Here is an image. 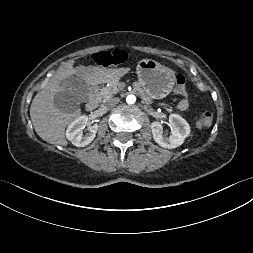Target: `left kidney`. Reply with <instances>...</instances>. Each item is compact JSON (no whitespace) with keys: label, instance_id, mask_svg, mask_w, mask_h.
<instances>
[{"label":"left kidney","instance_id":"5707ae66","mask_svg":"<svg viewBox=\"0 0 253 253\" xmlns=\"http://www.w3.org/2000/svg\"><path fill=\"white\" fill-rule=\"evenodd\" d=\"M171 134L169 137L163 135V126L160 122L154 121L151 124L153 139L161 147L172 149L183 144L185 138L190 134V126L180 115L171 114L169 116Z\"/></svg>","mask_w":253,"mask_h":253}]
</instances>
